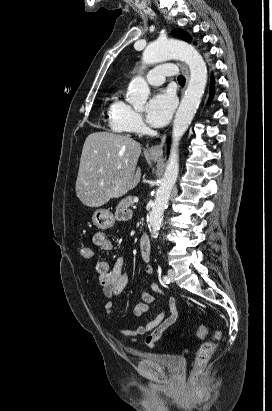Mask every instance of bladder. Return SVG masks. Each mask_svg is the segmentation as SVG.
<instances>
[{"label": "bladder", "mask_w": 272, "mask_h": 411, "mask_svg": "<svg viewBox=\"0 0 272 411\" xmlns=\"http://www.w3.org/2000/svg\"><path fill=\"white\" fill-rule=\"evenodd\" d=\"M140 357L155 366L172 372L178 371L183 364V357L177 354L143 353Z\"/></svg>", "instance_id": "31cf9c89"}]
</instances>
